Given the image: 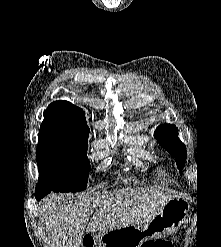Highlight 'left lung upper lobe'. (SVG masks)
<instances>
[{
    "mask_svg": "<svg viewBox=\"0 0 221 247\" xmlns=\"http://www.w3.org/2000/svg\"><path fill=\"white\" fill-rule=\"evenodd\" d=\"M158 143L175 157L179 169H183V164L187 158L186 147L178 138V129L175 125H160L154 132Z\"/></svg>",
    "mask_w": 221,
    "mask_h": 247,
    "instance_id": "5c2ea615",
    "label": "left lung upper lobe"
}]
</instances>
